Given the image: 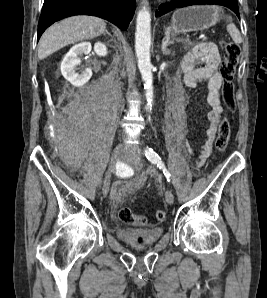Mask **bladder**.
<instances>
[{
  "mask_svg": "<svg viewBox=\"0 0 267 298\" xmlns=\"http://www.w3.org/2000/svg\"><path fill=\"white\" fill-rule=\"evenodd\" d=\"M117 237L135 248H145L156 243L163 235V228L153 227L139 229L132 227H121L116 232Z\"/></svg>",
  "mask_w": 267,
  "mask_h": 298,
  "instance_id": "31cf9c89",
  "label": "bladder"
}]
</instances>
